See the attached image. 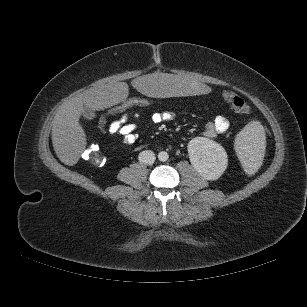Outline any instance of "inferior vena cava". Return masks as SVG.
<instances>
[{"label": "inferior vena cava", "instance_id": "602c4592", "mask_svg": "<svg viewBox=\"0 0 307 307\" xmlns=\"http://www.w3.org/2000/svg\"><path fill=\"white\" fill-rule=\"evenodd\" d=\"M155 159H156L155 154L151 150H144L140 152L138 156L139 162L144 165H152Z\"/></svg>", "mask_w": 307, "mask_h": 307}]
</instances>
